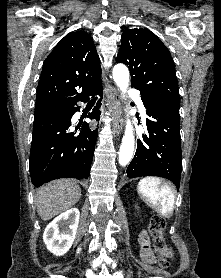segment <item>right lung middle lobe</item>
<instances>
[{"label": "right lung middle lobe", "instance_id": "right-lung-middle-lobe-1", "mask_svg": "<svg viewBox=\"0 0 221 278\" xmlns=\"http://www.w3.org/2000/svg\"><path fill=\"white\" fill-rule=\"evenodd\" d=\"M59 108L54 104L36 105L34 121H37L47 115L58 112Z\"/></svg>", "mask_w": 221, "mask_h": 278}]
</instances>
